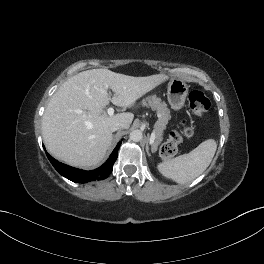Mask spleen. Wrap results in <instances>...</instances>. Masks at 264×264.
<instances>
[{"label": "spleen", "instance_id": "obj_1", "mask_svg": "<svg viewBox=\"0 0 264 264\" xmlns=\"http://www.w3.org/2000/svg\"><path fill=\"white\" fill-rule=\"evenodd\" d=\"M217 149L214 139H207L195 149L158 164L159 172L179 184H186L200 176L210 165Z\"/></svg>", "mask_w": 264, "mask_h": 264}]
</instances>
